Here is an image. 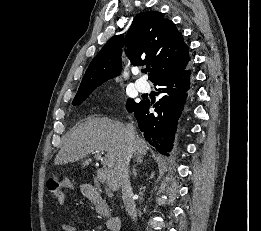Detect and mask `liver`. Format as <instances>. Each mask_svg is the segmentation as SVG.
Returning <instances> with one entry per match:
<instances>
[{"instance_id":"obj_1","label":"liver","mask_w":261,"mask_h":231,"mask_svg":"<svg viewBox=\"0 0 261 231\" xmlns=\"http://www.w3.org/2000/svg\"><path fill=\"white\" fill-rule=\"evenodd\" d=\"M145 141L138 135L129 141L126 126L106 117H93L79 124L66 138L54 164L76 162L93 152H106L103 166L107 186L118 191L122 186L123 172L133 155L147 153ZM91 159L83 165H88Z\"/></svg>"}]
</instances>
